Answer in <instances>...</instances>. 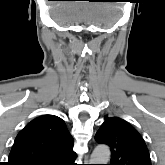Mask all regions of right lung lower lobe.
<instances>
[{
    "label": "right lung lower lobe",
    "instance_id": "98d812e1",
    "mask_svg": "<svg viewBox=\"0 0 165 165\" xmlns=\"http://www.w3.org/2000/svg\"><path fill=\"white\" fill-rule=\"evenodd\" d=\"M76 158V153L72 149H68L61 155L56 161L51 163L50 165H76L74 160Z\"/></svg>",
    "mask_w": 165,
    "mask_h": 165
}]
</instances>
